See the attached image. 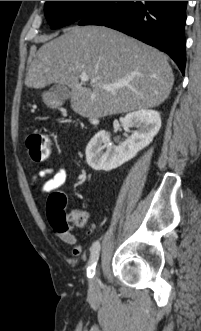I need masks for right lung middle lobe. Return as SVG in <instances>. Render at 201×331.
<instances>
[{
  "label": "right lung middle lobe",
  "mask_w": 201,
  "mask_h": 331,
  "mask_svg": "<svg viewBox=\"0 0 201 331\" xmlns=\"http://www.w3.org/2000/svg\"><path fill=\"white\" fill-rule=\"evenodd\" d=\"M104 1H46L45 17L51 28H59L79 21Z\"/></svg>",
  "instance_id": "dd1d6c3e"
}]
</instances>
